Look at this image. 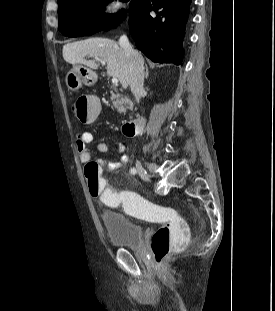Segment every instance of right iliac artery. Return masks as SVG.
Masks as SVG:
<instances>
[{
	"mask_svg": "<svg viewBox=\"0 0 275 311\" xmlns=\"http://www.w3.org/2000/svg\"><path fill=\"white\" fill-rule=\"evenodd\" d=\"M136 172H137V171H136V169H135V168H131V169H130V173H131V174L135 175V174H136Z\"/></svg>",
	"mask_w": 275,
	"mask_h": 311,
	"instance_id": "1",
	"label": "right iliac artery"
}]
</instances>
